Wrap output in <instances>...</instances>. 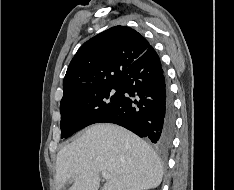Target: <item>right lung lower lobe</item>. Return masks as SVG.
Returning <instances> with one entry per match:
<instances>
[{"label":"right lung lower lobe","mask_w":234,"mask_h":190,"mask_svg":"<svg viewBox=\"0 0 234 190\" xmlns=\"http://www.w3.org/2000/svg\"><path fill=\"white\" fill-rule=\"evenodd\" d=\"M114 108L98 121L118 124L158 147L170 146L175 118L158 54L149 47L123 73Z\"/></svg>","instance_id":"obj_1"}]
</instances>
